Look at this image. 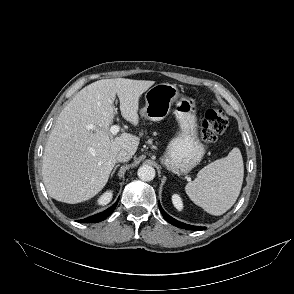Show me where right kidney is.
<instances>
[{
  "label": "right kidney",
  "instance_id": "ca27d5eb",
  "mask_svg": "<svg viewBox=\"0 0 294 294\" xmlns=\"http://www.w3.org/2000/svg\"><path fill=\"white\" fill-rule=\"evenodd\" d=\"M112 197H113L112 191H107L98 198L97 202L99 205H106L112 200Z\"/></svg>",
  "mask_w": 294,
  "mask_h": 294
}]
</instances>
